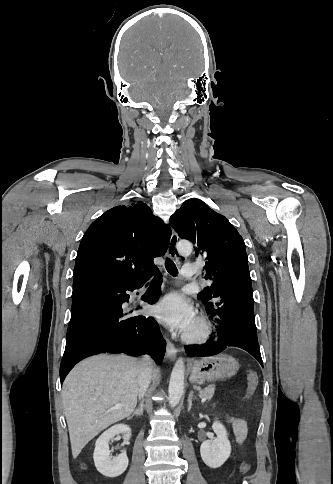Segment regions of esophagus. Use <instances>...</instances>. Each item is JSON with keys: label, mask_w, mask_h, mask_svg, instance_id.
Returning <instances> with one entry per match:
<instances>
[{"label": "esophagus", "mask_w": 333, "mask_h": 484, "mask_svg": "<svg viewBox=\"0 0 333 484\" xmlns=\"http://www.w3.org/2000/svg\"><path fill=\"white\" fill-rule=\"evenodd\" d=\"M177 242H178V235L175 231H173L171 238H170V241H169L167 253H168L169 257L174 258V259H178L177 251H176ZM177 352H178V350L176 349L174 344L172 342H170L169 340H167L166 353H167L168 358L171 361H174L176 359Z\"/></svg>", "instance_id": "esophagus-1"}]
</instances>
